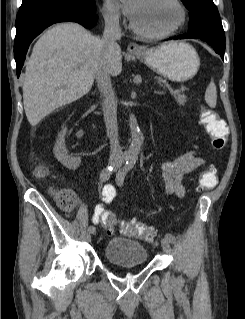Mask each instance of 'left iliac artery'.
I'll return each mask as SVG.
<instances>
[{
    "label": "left iliac artery",
    "instance_id": "44dca946",
    "mask_svg": "<svg viewBox=\"0 0 245 319\" xmlns=\"http://www.w3.org/2000/svg\"><path fill=\"white\" fill-rule=\"evenodd\" d=\"M135 164V159L130 158L127 160L125 166L118 172L117 177L118 180L120 181L121 185L124 182V178L127 175L128 172H130V170L133 168ZM165 238L170 242V243H174L175 242V236L171 233H167L165 235Z\"/></svg>",
    "mask_w": 245,
    "mask_h": 319
}]
</instances>
